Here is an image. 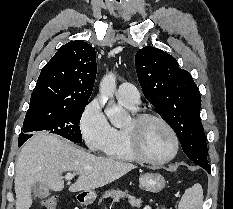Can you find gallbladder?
<instances>
[{
    "mask_svg": "<svg viewBox=\"0 0 233 209\" xmlns=\"http://www.w3.org/2000/svg\"><path fill=\"white\" fill-rule=\"evenodd\" d=\"M32 192L35 198H45L49 195V189L40 183H36L32 186Z\"/></svg>",
    "mask_w": 233,
    "mask_h": 209,
    "instance_id": "1",
    "label": "gallbladder"
}]
</instances>
